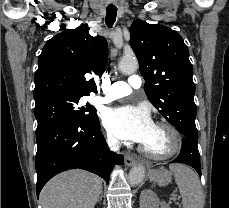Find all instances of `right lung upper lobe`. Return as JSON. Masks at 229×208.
Here are the masks:
<instances>
[{"mask_svg": "<svg viewBox=\"0 0 229 208\" xmlns=\"http://www.w3.org/2000/svg\"><path fill=\"white\" fill-rule=\"evenodd\" d=\"M108 44L102 36H91L87 24L67 29L47 41L35 73V101L52 95L87 96L97 93L91 75L105 71Z\"/></svg>", "mask_w": 229, "mask_h": 208, "instance_id": "1", "label": "right lung upper lobe"}]
</instances>
